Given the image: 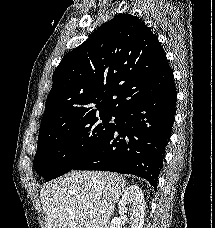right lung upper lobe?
Returning a JSON list of instances; mask_svg holds the SVG:
<instances>
[{
	"instance_id": "obj_1",
	"label": "right lung upper lobe",
	"mask_w": 215,
	"mask_h": 228,
	"mask_svg": "<svg viewBox=\"0 0 215 228\" xmlns=\"http://www.w3.org/2000/svg\"><path fill=\"white\" fill-rule=\"evenodd\" d=\"M172 76L157 36L136 16L116 15L62 59L40 129L117 114Z\"/></svg>"
}]
</instances>
